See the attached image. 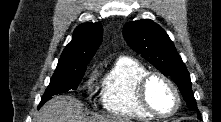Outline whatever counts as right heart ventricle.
<instances>
[{
    "mask_svg": "<svg viewBox=\"0 0 221 122\" xmlns=\"http://www.w3.org/2000/svg\"><path fill=\"white\" fill-rule=\"evenodd\" d=\"M148 70L131 58L118 59L103 80L102 102L112 115L132 119H151L153 116L139 104L136 85Z\"/></svg>",
    "mask_w": 221,
    "mask_h": 122,
    "instance_id": "right-heart-ventricle-1",
    "label": "right heart ventricle"
}]
</instances>
